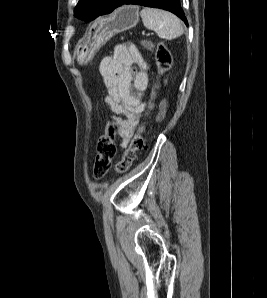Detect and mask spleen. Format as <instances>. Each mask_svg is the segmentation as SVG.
I'll return each instance as SVG.
<instances>
[{"label": "spleen", "mask_w": 267, "mask_h": 298, "mask_svg": "<svg viewBox=\"0 0 267 298\" xmlns=\"http://www.w3.org/2000/svg\"><path fill=\"white\" fill-rule=\"evenodd\" d=\"M140 15L144 26L147 29L154 30L163 39L172 40L183 34L180 19L168 11L144 8Z\"/></svg>", "instance_id": "3e777b00"}]
</instances>
